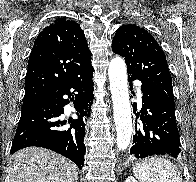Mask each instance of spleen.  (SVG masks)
<instances>
[{
  "mask_svg": "<svg viewBox=\"0 0 196 182\" xmlns=\"http://www.w3.org/2000/svg\"><path fill=\"white\" fill-rule=\"evenodd\" d=\"M133 174L139 182H182L178 167L161 157H151L137 163Z\"/></svg>",
  "mask_w": 196,
  "mask_h": 182,
  "instance_id": "3e777b00",
  "label": "spleen"
}]
</instances>
